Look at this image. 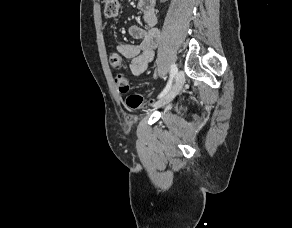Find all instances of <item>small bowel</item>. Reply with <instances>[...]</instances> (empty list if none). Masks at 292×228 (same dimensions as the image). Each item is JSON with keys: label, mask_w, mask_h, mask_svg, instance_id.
I'll return each instance as SVG.
<instances>
[{"label": "small bowel", "mask_w": 292, "mask_h": 228, "mask_svg": "<svg viewBox=\"0 0 292 228\" xmlns=\"http://www.w3.org/2000/svg\"><path fill=\"white\" fill-rule=\"evenodd\" d=\"M138 9L142 14L144 26L133 25L128 29V33L131 37L140 39L141 43L138 45L119 43L115 51L121 59L131 61L130 71L134 76L143 74L153 61L160 34L154 0H139Z\"/></svg>", "instance_id": "c3829d8e"}]
</instances>
